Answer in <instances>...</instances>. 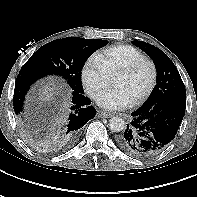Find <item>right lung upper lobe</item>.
Listing matches in <instances>:
<instances>
[{
  "mask_svg": "<svg viewBox=\"0 0 197 197\" xmlns=\"http://www.w3.org/2000/svg\"><path fill=\"white\" fill-rule=\"evenodd\" d=\"M20 122H21V125L25 128H28L30 131H33L37 134L39 133H47L46 130H44V128H42V125L38 122H35L33 121L32 119L30 118H27V117H20Z\"/></svg>",
  "mask_w": 197,
  "mask_h": 197,
  "instance_id": "1",
  "label": "right lung upper lobe"
}]
</instances>
